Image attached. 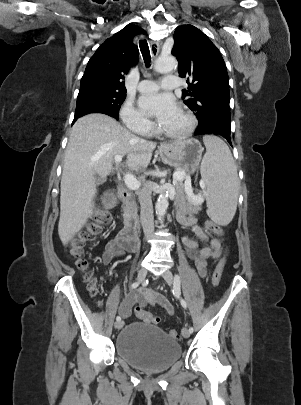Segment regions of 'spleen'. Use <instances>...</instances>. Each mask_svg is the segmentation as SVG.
<instances>
[{"label": "spleen", "instance_id": "spleen-1", "mask_svg": "<svg viewBox=\"0 0 301 405\" xmlns=\"http://www.w3.org/2000/svg\"><path fill=\"white\" fill-rule=\"evenodd\" d=\"M206 153L201 162V176L207 185V213L220 225H227L237 209L239 179L232 154L216 136L203 137Z\"/></svg>", "mask_w": 301, "mask_h": 405}]
</instances>
